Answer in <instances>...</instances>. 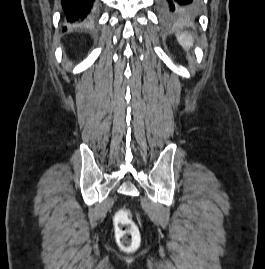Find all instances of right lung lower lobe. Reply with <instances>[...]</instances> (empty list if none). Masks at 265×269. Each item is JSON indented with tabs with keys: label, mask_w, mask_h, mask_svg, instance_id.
Masks as SVG:
<instances>
[{
	"label": "right lung lower lobe",
	"mask_w": 265,
	"mask_h": 269,
	"mask_svg": "<svg viewBox=\"0 0 265 269\" xmlns=\"http://www.w3.org/2000/svg\"><path fill=\"white\" fill-rule=\"evenodd\" d=\"M95 0H61L66 21L80 23L87 19Z\"/></svg>",
	"instance_id": "98d812e1"
}]
</instances>
